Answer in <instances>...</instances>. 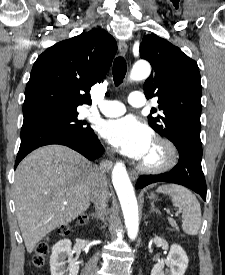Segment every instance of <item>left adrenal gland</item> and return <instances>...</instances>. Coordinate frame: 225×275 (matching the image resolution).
<instances>
[{"mask_svg": "<svg viewBox=\"0 0 225 275\" xmlns=\"http://www.w3.org/2000/svg\"><path fill=\"white\" fill-rule=\"evenodd\" d=\"M150 212H156V213H159V211L155 208L154 206V202L151 203V210Z\"/></svg>", "mask_w": 225, "mask_h": 275, "instance_id": "obj_1", "label": "left adrenal gland"}]
</instances>
